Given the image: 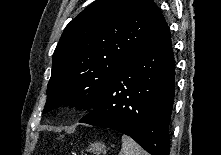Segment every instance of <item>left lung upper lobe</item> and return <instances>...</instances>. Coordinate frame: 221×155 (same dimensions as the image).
<instances>
[{
	"label": "left lung upper lobe",
	"instance_id": "obj_1",
	"mask_svg": "<svg viewBox=\"0 0 221 155\" xmlns=\"http://www.w3.org/2000/svg\"><path fill=\"white\" fill-rule=\"evenodd\" d=\"M162 15L153 0H96L65 28L52 58L43 113L93 108Z\"/></svg>",
	"mask_w": 221,
	"mask_h": 155
}]
</instances>
